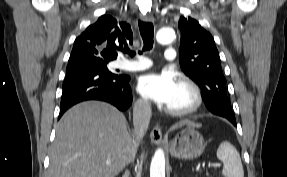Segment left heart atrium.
<instances>
[{
  "mask_svg": "<svg viewBox=\"0 0 287 177\" xmlns=\"http://www.w3.org/2000/svg\"><path fill=\"white\" fill-rule=\"evenodd\" d=\"M177 87L175 75L167 70L145 74L137 83V91L144 98L163 105H168Z\"/></svg>",
  "mask_w": 287,
  "mask_h": 177,
  "instance_id": "1",
  "label": "left heart atrium"
}]
</instances>
